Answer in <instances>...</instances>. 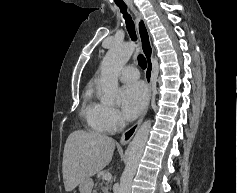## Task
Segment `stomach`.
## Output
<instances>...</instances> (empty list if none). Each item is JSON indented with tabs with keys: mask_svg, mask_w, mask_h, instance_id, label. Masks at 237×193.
Wrapping results in <instances>:
<instances>
[{
	"mask_svg": "<svg viewBox=\"0 0 237 193\" xmlns=\"http://www.w3.org/2000/svg\"><path fill=\"white\" fill-rule=\"evenodd\" d=\"M93 181L91 178L86 179L84 182L79 184L80 193H92Z\"/></svg>",
	"mask_w": 237,
	"mask_h": 193,
	"instance_id": "0dacf381",
	"label": "stomach"
}]
</instances>
